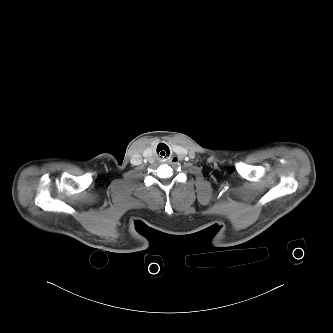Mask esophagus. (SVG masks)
Segmentation results:
<instances>
[{
  "label": "esophagus",
  "mask_w": 333,
  "mask_h": 333,
  "mask_svg": "<svg viewBox=\"0 0 333 333\" xmlns=\"http://www.w3.org/2000/svg\"><path fill=\"white\" fill-rule=\"evenodd\" d=\"M171 161H172L173 163H177V162L179 161V157H177V156H173V157L171 158Z\"/></svg>",
  "instance_id": "obj_1"
}]
</instances>
